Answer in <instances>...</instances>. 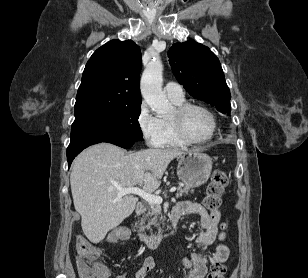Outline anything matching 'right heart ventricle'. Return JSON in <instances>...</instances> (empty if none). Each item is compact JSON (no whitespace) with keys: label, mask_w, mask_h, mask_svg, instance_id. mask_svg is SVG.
I'll return each instance as SVG.
<instances>
[{"label":"right heart ventricle","mask_w":308,"mask_h":278,"mask_svg":"<svg viewBox=\"0 0 308 278\" xmlns=\"http://www.w3.org/2000/svg\"><path fill=\"white\" fill-rule=\"evenodd\" d=\"M170 100L175 106H179L183 104L185 101L184 99H181V100L170 99ZM161 123L163 127V132H164V139H163L162 146L164 147H183L187 144L176 135L172 125L169 122V119H166V118L161 119Z\"/></svg>","instance_id":"right-heart-ventricle-1"}]
</instances>
